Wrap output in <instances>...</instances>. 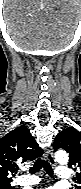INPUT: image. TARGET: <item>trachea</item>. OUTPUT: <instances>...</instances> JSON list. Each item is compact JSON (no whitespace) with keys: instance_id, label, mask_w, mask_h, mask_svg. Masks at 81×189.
Wrapping results in <instances>:
<instances>
[{"instance_id":"1","label":"trachea","mask_w":81,"mask_h":189,"mask_svg":"<svg viewBox=\"0 0 81 189\" xmlns=\"http://www.w3.org/2000/svg\"><path fill=\"white\" fill-rule=\"evenodd\" d=\"M42 167L44 168V170L48 175L53 176V169L51 165L46 160H42V159H37L35 161L33 166L29 169V173L35 174L38 171H40Z\"/></svg>"}]
</instances>
